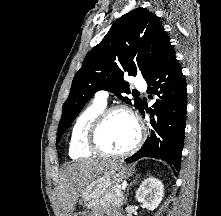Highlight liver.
<instances>
[{"label":"liver","mask_w":221,"mask_h":216,"mask_svg":"<svg viewBox=\"0 0 221 216\" xmlns=\"http://www.w3.org/2000/svg\"><path fill=\"white\" fill-rule=\"evenodd\" d=\"M113 163L112 160L106 159H83L64 169L58 186L64 216H71L85 187Z\"/></svg>","instance_id":"1"}]
</instances>
